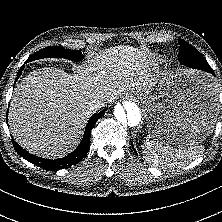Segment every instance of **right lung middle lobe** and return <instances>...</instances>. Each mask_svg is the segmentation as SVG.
<instances>
[{
	"mask_svg": "<svg viewBox=\"0 0 222 222\" xmlns=\"http://www.w3.org/2000/svg\"><path fill=\"white\" fill-rule=\"evenodd\" d=\"M66 58L73 60L75 62L81 61L83 59V55L78 50H69L65 49L61 46H50L44 49H41L39 52L34 53L32 56L28 58V61H34L42 58Z\"/></svg>",
	"mask_w": 222,
	"mask_h": 222,
	"instance_id": "1",
	"label": "right lung middle lobe"
}]
</instances>
